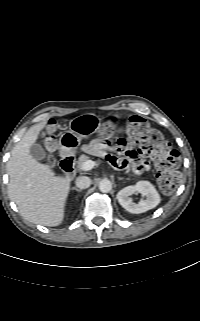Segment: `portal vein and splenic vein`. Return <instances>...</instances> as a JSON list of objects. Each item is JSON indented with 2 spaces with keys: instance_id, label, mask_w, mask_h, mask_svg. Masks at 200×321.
Masks as SVG:
<instances>
[{
  "instance_id": "1",
  "label": "portal vein and splenic vein",
  "mask_w": 200,
  "mask_h": 321,
  "mask_svg": "<svg viewBox=\"0 0 200 321\" xmlns=\"http://www.w3.org/2000/svg\"><path fill=\"white\" fill-rule=\"evenodd\" d=\"M95 165H96V162H95V161L87 160L86 162L83 163L81 169L84 170V171H89V170H91Z\"/></svg>"
}]
</instances>
